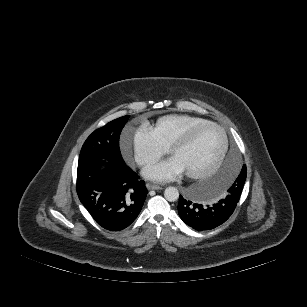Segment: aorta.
Masks as SVG:
<instances>
[{"mask_svg": "<svg viewBox=\"0 0 307 307\" xmlns=\"http://www.w3.org/2000/svg\"><path fill=\"white\" fill-rule=\"evenodd\" d=\"M164 197L169 202L177 201L179 198V191L176 187H167L164 191Z\"/></svg>", "mask_w": 307, "mask_h": 307, "instance_id": "aorta-1", "label": "aorta"}]
</instances>
